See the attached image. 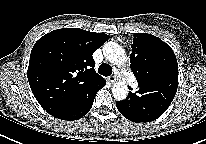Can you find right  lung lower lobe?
Returning a JSON list of instances; mask_svg holds the SVG:
<instances>
[{
    "label": "right lung lower lobe",
    "mask_w": 206,
    "mask_h": 144,
    "mask_svg": "<svg viewBox=\"0 0 206 144\" xmlns=\"http://www.w3.org/2000/svg\"><path fill=\"white\" fill-rule=\"evenodd\" d=\"M105 84H106V81L103 80L89 94H87L86 97L82 101L58 113L54 117L62 119V120H68V121L80 119L81 117H83L85 114L89 112L98 90L104 87Z\"/></svg>",
    "instance_id": "98d812e1"
}]
</instances>
